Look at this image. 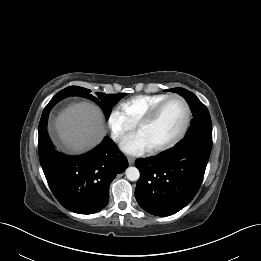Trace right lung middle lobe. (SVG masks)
<instances>
[{"label":"right lung middle lobe","mask_w":261,"mask_h":261,"mask_svg":"<svg viewBox=\"0 0 261 261\" xmlns=\"http://www.w3.org/2000/svg\"><path fill=\"white\" fill-rule=\"evenodd\" d=\"M90 92L91 90H88L86 88L70 86L58 92L51 99L48 105L54 106L58 101L62 100L67 96H83L97 102L102 108V110L104 111L106 118L108 119L111 114L112 107L115 106L116 103L126 95L125 93L105 94V93L97 92V97H94L90 94Z\"/></svg>","instance_id":"dd1d6c3e"}]
</instances>
